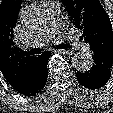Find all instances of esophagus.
<instances>
[{
    "instance_id": "34e87169",
    "label": "esophagus",
    "mask_w": 113,
    "mask_h": 113,
    "mask_svg": "<svg viewBox=\"0 0 113 113\" xmlns=\"http://www.w3.org/2000/svg\"><path fill=\"white\" fill-rule=\"evenodd\" d=\"M56 51L57 52H60V53H62V54H64V55H72L73 54V50H65V49H56Z\"/></svg>"
}]
</instances>
